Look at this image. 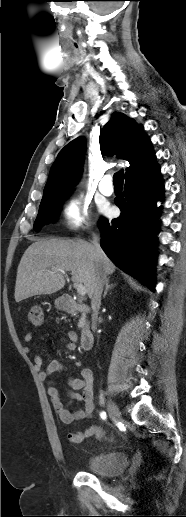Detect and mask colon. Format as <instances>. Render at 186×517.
Listing matches in <instances>:
<instances>
[{"instance_id":"1","label":"colon","mask_w":186,"mask_h":517,"mask_svg":"<svg viewBox=\"0 0 186 517\" xmlns=\"http://www.w3.org/2000/svg\"><path fill=\"white\" fill-rule=\"evenodd\" d=\"M29 322L31 325L38 327L44 322V314L40 306H33L29 311ZM105 435L103 434L101 438Z\"/></svg>"}]
</instances>
